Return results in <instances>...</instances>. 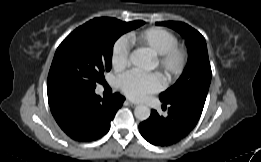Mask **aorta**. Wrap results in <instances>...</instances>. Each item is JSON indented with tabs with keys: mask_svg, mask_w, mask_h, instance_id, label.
<instances>
[{
	"mask_svg": "<svg viewBox=\"0 0 261 162\" xmlns=\"http://www.w3.org/2000/svg\"><path fill=\"white\" fill-rule=\"evenodd\" d=\"M130 61L138 70L151 69V60L142 50L134 51L130 56ZM150 113L149 107L145 105H138L134 109V115L140 121L147 120Z\"/></svg>",
	"mask_w": 261,
	"mask_h": 162,
	"instance_id": "762f6f07",
	"label": "aorta"
}]
</instances>
